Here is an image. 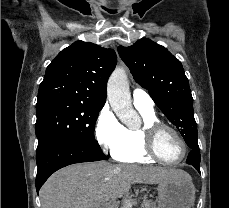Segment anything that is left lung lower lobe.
Wrapping results in <instances>:
<instances>
[{
    "mask_svg": "<svg viewBox=\"0 0 229 208\" xmlns=\"http://www.w3.org/2000/svg\"><path fill=\"white\" fill-rule=\"evenodd\" d=\"M198 135L184 136L186 144L191 148V151L186 160L187 164H192L200 173V149L197 142Z\"/></svg>",
    "mask_w": 229,
    "mask_h": 208,
    "instance_id": "left-lung-lower-lobe-1",
    "label": "left lung lower lobe"
}]
</instances>
